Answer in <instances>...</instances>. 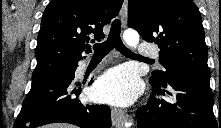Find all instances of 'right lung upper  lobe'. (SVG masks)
<instances>
[{"instance_id": "cb5924a9", "label": "right lung upper lobe", "mask_w": 221, "mask_h": 128, "mask_svg": "<svg viewBox=\"0 0 221 128\" xmlns=\"http://www.w3.org/2000/svg\"><path fill=\"white\" fill-rule=\"evenodd\" d=\"M123 0H52L46 7L35 50L33 77L73 66L91 52L90 37L104 38L103 27L118 15ZM91 40V42H94Z\"/></svg>"}]
</instances>
